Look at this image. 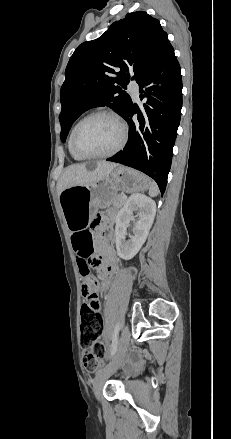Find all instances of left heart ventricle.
Wrapping results in <instances>:
<instances>
[{"instance_id":"obj_1","label":"left heart ventricle","mask_w":231,"mask_h":439,"mask_svg":"<svg viewBox=\"0 0 231 439\" xmlns=\"http://www.w3.org/2000/svg\"><path fill=\"white\" fill-rule=\"evenodd\" d=\"M120 140V128L110 118L100 116L86 121L76 133L77 148L87 154H101L113 149Z\"/></svg>"}]
</instances>
